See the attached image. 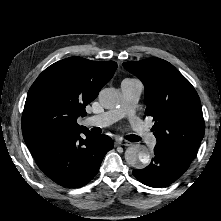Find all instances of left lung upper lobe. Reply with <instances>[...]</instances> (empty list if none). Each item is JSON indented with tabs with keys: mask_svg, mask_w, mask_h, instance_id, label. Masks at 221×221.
I'll use <instances>...</instances> for the list:
<instances>
[{
	"mask_svg": "<svg viewBox=\"0 0 221 221\" xmlns=\"http://www.w3.org/2000/svg\"><path fill=\"white\" fill-rule=\"evenodd\" d=\"M123 66L145 86L146 115L155 121L152 131L156 146L191 163L205 131L194 87L173 65L160 58L125 62Z\"/></svg>",
	"mask_w": 221,
	"mask_h": 221,
	"instance_id": "1",
	"label": "left lung upper lobe"
}]
</instances>
